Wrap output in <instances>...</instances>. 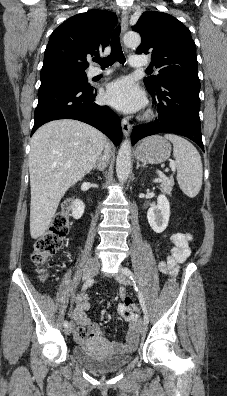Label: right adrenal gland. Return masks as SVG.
I'll use <instances>...</instances> for the list:
<instances>
[{
    "label": "right adrenal gland",
    "instance_id": "obj_1",
    "mask_svg": "<svg viewBox=\"0 0 227 396\" xmlns=\"http://www.w3.org/2000/svg\"><path fill=\"white\" fill-rule=\"evenodd\" d=\"M93 168H94V169H97L98 171L103 172L104 169H105L104 160L100 157V158L97 160V164H95Z\"/></svg>",
    "mask_w": 227,
    "mask_h": 396
}]
</instances>
